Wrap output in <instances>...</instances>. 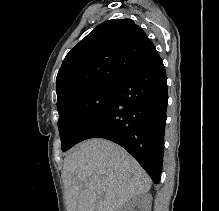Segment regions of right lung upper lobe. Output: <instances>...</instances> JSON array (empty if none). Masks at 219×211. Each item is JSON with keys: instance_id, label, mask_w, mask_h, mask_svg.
Returning <instances> with one entry per match:
<instances>
[{"instance_id": "obj_1", "label": "right lung upper lobe", "mask_w": 219, "mask_h": 211, "mask_svg": "<svg viewBox=\"0 0 219 211\" xmlns=\"http://www.w3.org/2000/svg\"><path fill=\"white\" fill-rule=\"evenodd\" d=\"M158 57L151 40L132 20H108L66 55L56 79L57 103L96 86H116Z\"/></svg>"}]
</instances>
